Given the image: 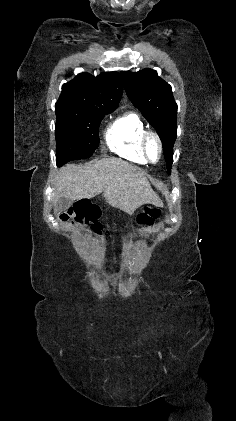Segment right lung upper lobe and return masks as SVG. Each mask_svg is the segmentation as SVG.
Returning a JSON list of instances; mask_svg holds the SVG:
<instances>
[{
    "label": "right lung upper lobe",
    "instance_id": "1",
    "mask_svg": "<svg viewBox=\"0 0 236 421\" xmlns=\"http://www.w3.org/2000/svg\"><path fill=\"white\" fill-rule=\"evenodd\" d=\"M122 91L121 77L116 72L101 73L97 77L83 73L62 86L58 101L116 109Z\"/></svg>",
    "mask_w": 236,
    "mask_h": 421
}]
</instances>
